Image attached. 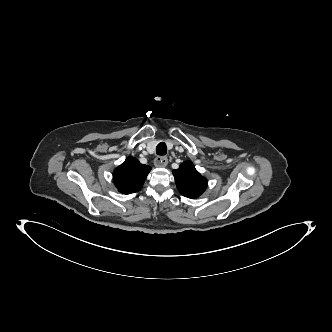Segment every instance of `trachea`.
I'll list each match as a JSON object with an SVG mask.
<instances>
[{
    "mask_svg": "<svg viewBox=\"0 0 332 332\" xmlns=\"http://www.w3.org/2000/svg\"><path fill=\"white\" fill-rule=\"evenodd\" d=\"M167 146L164 142H160L156 147L157 155H166Z\"/></svg>",
    "mask_w": 332,
    "mask_h": 332,
    "instance_id": "trachea-1",
    "label": "trachea"
}]
</instances>
